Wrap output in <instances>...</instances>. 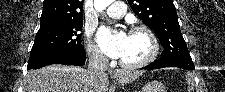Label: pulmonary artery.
Returning <instances> with one entry per match:
<instances>
[{"label": "pulmonary artery", "instance_id": "e3ab8cb5", "mask_svg": "<svg viewBox=\"0 0 225 92\" xmlns=\"http://www.w3.org/2000/svg\"><path fill=\"white\" fill-rule=\"evenodd\" d=\"M109 7L106 13L109 17L120 18L126 13V5L124 2H114L113 0H107Z\"/></svg>", "mask_w": 225, "mask_h": 92}]
</instances>
